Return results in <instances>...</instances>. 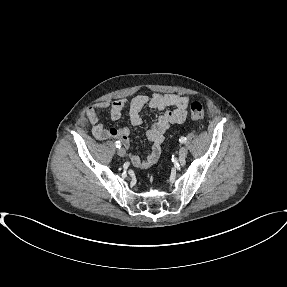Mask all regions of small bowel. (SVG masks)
Wrapping results in <instances>:
<instances>
[{
    "mask_svg": "<svg viewBox=\"0 0 287 287\" xmlns=\"http://www.w3.org/2000/svg\"><path fill=\"white\" fill-rule=\"evenodd\" d=\"M126 104V99H118L111 102H100L87 109L86 115L92 126V134L97 140L118 139L125 146H129L130 130L128 127L106 128L99 118L102 112L109 111L112 120L120 119ZM188 104L189 99L187 96L160 93H154L151 96L137 95L130 101L129 117L133 126H139L143 123L140 112L145 106L156 110H164L168 107L174 108L172 111H166L159 116L148 130L147 138L152 143L151 153L146 158L135 155L130 156V160L135 167L146 169L158 161L166 131L171 125L180 124L186 119Z\"/></svg>",
    "mask_w": 287,
    "mask_h": 287,
    "instance_id": "obj_1",
    "label": "small bowel"
}]
</instances>
